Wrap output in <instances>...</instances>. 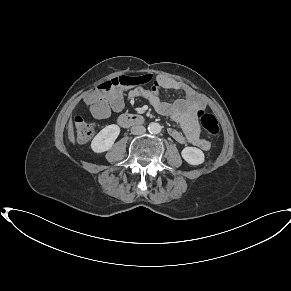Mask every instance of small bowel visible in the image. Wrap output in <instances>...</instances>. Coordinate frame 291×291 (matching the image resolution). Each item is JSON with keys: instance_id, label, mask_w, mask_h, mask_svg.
<instances>
[{"instance_id": "small-bowel-1", "label": "small bowel", "mask_w": 291, "mask_h": 291, "mask_svg": "<svg viewBox=\"0 0 291 291\" xmlns=\"http://www.w3.org/2000/svg\"><path fill=\"white\" fill-rule=\"evenodd\" d=\"M141 78L146 82L151 79L150 75ZM160 89L184 92L185 98L165 102L160 98ZM138 97L146 99L160 115L168 116L180 125L182 132L173 128L169 129V134L174 140L179 143H190L204 151L210 149V142L202 136L195 121V114L199 110L205 109L206 103L188 85L171 77L157 75L150 89L135 87L127 94L129 101ZM84 102L90 107L93 117L102 120L107 118L111 111H122L125 97L123 90L119 88L103 94H99L97 91L89 92L84 97Z\"/></svg>"}]
</instances>
